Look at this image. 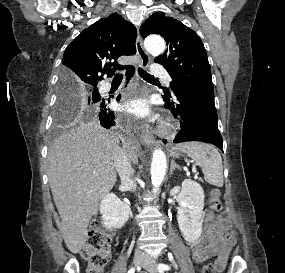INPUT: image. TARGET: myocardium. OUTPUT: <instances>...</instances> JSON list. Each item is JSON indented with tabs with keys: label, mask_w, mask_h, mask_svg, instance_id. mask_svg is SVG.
I'll return each mask as SVG.
<instances>
[{
	"label": "myocardium",
	"mask_w": 285,
	"mask_h": 273,
	"mask_svg": "<svg viewBox=\"0 0 285 273\" xmlns=\"http://www.w3.org/2000/svg\"><path fill=\"white\" fill-rule=\"evenodd\" d=\"M172 128L173 126L171 125V123L165 121L159 126L158 133L161 135H167L171 132Z\"/></svg>",
	"instance_id": "f54148a6"
}]
</instances>
